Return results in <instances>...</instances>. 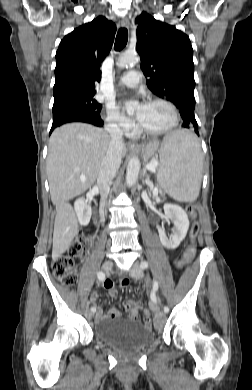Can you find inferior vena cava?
Listing matches in <instances>:
<instances>
[{
  "mask_svg": "<svg viewBox=\"0 0 252 390\" xmlns=\"http://www.w3.org/2000/svg\"><path fill=\"white\" fill-rule=\"evenodd\" d=\"M105 131L110 136V143L105 157L100 165L97 187L101 195V208L104 210L105 202L110 191V185L121 164L123 149V132L116 124H107Z\"/></svg>",
  "mask_w": 252,
  "mask_h": 390,
  "instance_id": "1",
  "label": "inferior vena cava"
}]
</instances>
